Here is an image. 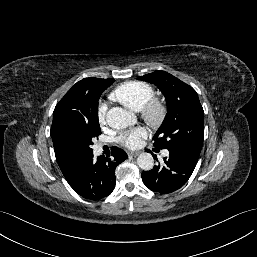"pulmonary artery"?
Listing matches in <instances>:
<instances>
[{
  "label": "pulmonary artery",
  "instance_id": "obj_1",
  "mask_svg": "<svg viewBox=\"0 0 257 257\" xmlns=\"http://www.w3.org/2000/svg\"><path fill=\"white\" fill-rule=\"evenodd\" d=\"M97 149L100 150V147H98ZM163 155H164V156H167V155H168V151H167V150H164V151H163Z\"/></svg>",
  "mask_w": 257,
  "mask_h": 257
}]
</instances>
